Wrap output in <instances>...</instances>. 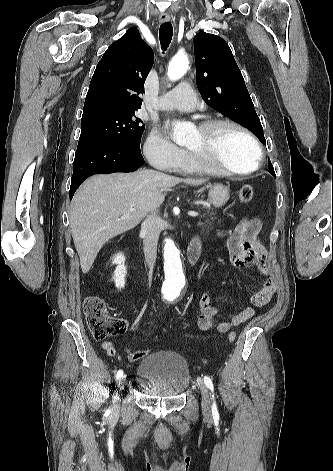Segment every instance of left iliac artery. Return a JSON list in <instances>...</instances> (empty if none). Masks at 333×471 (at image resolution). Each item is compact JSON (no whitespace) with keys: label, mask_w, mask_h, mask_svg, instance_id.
Returning a JSON list of instances; mask_svg holds the SVG:
<instances>
[{"label":"left iliac artery","mask_w":333,"mask_h":471,"mask_svg":"<svg viewBox=\"0 0 333 471\" xmlns=\"http://www.w3.org/2000/svg\"><path fill=\"white\" fill-rule=\"evenodd\" d=\"M204 383L206 384V386L212 392V400H213V402H212V414H213V416H219L217 405H216L215 398H214V386H213L212 380L208 376H205L204 377Z\"/></svg>","instance_id":"1"}]
</instances>
